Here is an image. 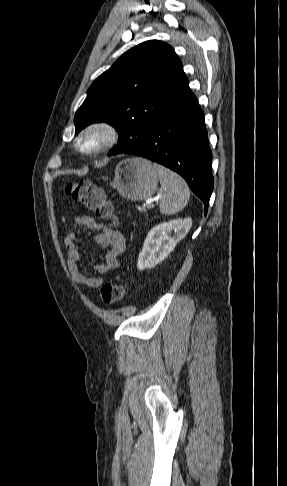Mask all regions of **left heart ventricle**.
<instances>
[{
  "instance_id": "obj_1",
  "label": "left heart ventricle",
  "mask_w": 287,
  "mask_h": 486,
  "mask_svg": "<svg viewBox=\"0 0 287 486\" xmlns=\"http://www.w3.org/2000/svg\"><path fill=\"white\" fill-rule=\"evenodd\" d=\"M98 141L99 140H98L97 137H91V138L86 139L83 142V145L86 146V147H92V146H95L98 143Z\"/></svg>"
}]
</instances>
